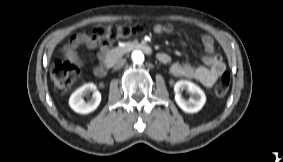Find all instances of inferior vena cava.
<instances>
[{
    "label": "inferior vena cava",
    "mask_w": 283,
    "mask_h": 162,
    "mask_svg": "<svg viewBox=\"0 0 283 162\" xmlns=\"http://www.w3.org/2000/svg\"><path fill=\"white\" fill-rule=\"evenodd\" d=\"M125 59H119L114 63V69H119L125 64Z\"/></svg>",
    "instance_id": "obj_1"
}]
</instances>
